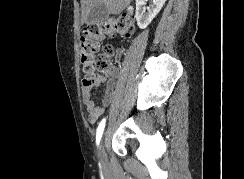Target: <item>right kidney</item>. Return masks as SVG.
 I'll return each instance as SVG.
<instances>
[{
  "label": "right kidney",
  "instance_id": "ca27d5eb",
  "mask_svg": "<svg viewBox=\"0 0 244 179\" xmlns=\"http://www.w3.org/2000/svg\"><path fill=\"white\" fill-rule=\"evenodd\" d=\"M146 2H148V0H136L135 18L141 30H145V28L151 24L153 18H155V16L159 14L161 8H163L166 0H154L150 8H146Z\"/></svg>",
  "mask_w": 244,
  "mask_h": 179
}]
</instances>
